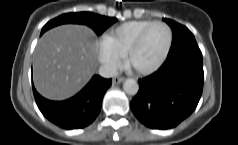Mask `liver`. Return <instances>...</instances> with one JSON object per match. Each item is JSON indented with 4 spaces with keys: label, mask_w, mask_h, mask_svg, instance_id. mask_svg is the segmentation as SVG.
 <instances>
[{
    "label": "liver",
    "mask_w": 238,
    "mask_h": 145,
    "mask_svg": "<svg viewBox=\"0 0 238 145\" xmlns=\"http://www.w3.org/2000/svg\"><path fill=\"white\" fill-rule=\"evenodd\" d=\"M97 40L81 25H62L47 31L34 53L37 91L50 100H65L79 92L97 68Z\"/></svg>",
    "instance_id": "1"
}]
</instances>
